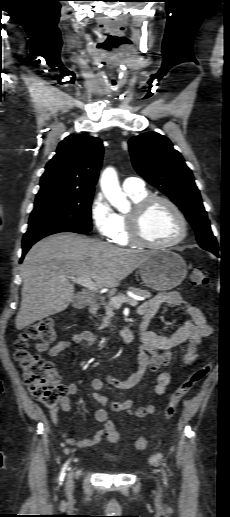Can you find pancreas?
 <instances>
[{"label": "pancreas", "mask_w": 230, "mask_h": 517, "mask_svg": "<svg viewBox=\"0 0 230 517\" xmlns=\"http://www.w3.org/2000/svg\"><path fill=\"white\" fill-rule=\"evenodd\" d=\"M128 290L141 297H146V298L151 297V293L148 290H142L140 288H135V287H129ZM123 297H125V295L123 293H119L118 295L115 296V298H123ZM103 305H104L106 314L103 317L102 323L98 328L99 330L109 327L110 323H111V319L115 315L114 314V305L112 304L111 301L104 303Z\"/></svg>", "instance_id": "cf45deb5"}]
</instances>
